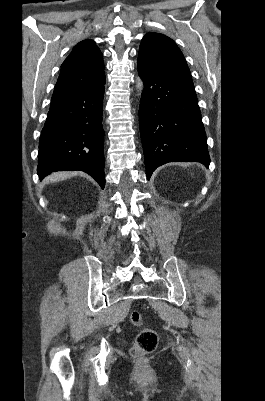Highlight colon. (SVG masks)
Returning a JSON list of instances; mask_svg holds the SVG:
<instances>
[{
  "instance_id": "colon-1",
  "label": "colon",
  "mask_w": 265,
  "mask_h": 401,
  "mask_svg": "<svg viewBox=\"0 0 265 401\" xmlns=\"http://www.w3.org/2000/svg\"><path fill=\"white\" fill-rule=\"evenodd\" d=\"M130 321L134 326H141L143 323L142 314L134 310L130 313ZM158 344V334L150 328L141 330L136 336L131 353L134 357H141L153 352Z\"/></svg>"
}]
</instances>
